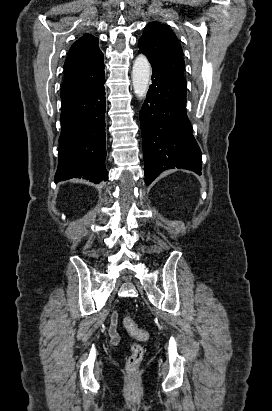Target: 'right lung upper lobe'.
<instances>
[{"mask_svg":"<svg viewBox=\"0 0 272 411\" xmlns=\"http://www.w3.org/2000/svg\"><path fill=\"white\" fill-rule=\"evenodd\" d=\"M64 72L61 99L97 85L104 77L103 54L98 47V39L91 34H84L78 39L68 52Z\"/></svg>","mask_w":272,"mask_h":411,"instance_id":"obj_1","label":"right lung upper lobe"}]
</instances>
